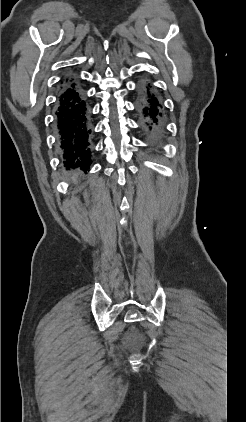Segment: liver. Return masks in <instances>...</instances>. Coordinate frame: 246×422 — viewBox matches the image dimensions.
Segmentation results:
<instances>
[{"instance_id": "1", "label": "liver", "mask_w": 246, "mask_h": 422, "mask_svg": "<svg viewBox=\"0 0 246 422\" xmlns=\"http://www.w3.org/2000/svg\"><path fill=\"white\" fill-rule=\"evenodd\" d=\"M77 178V174H75L74 176H73V179H76Z\"/></svg>"}]
</instances>
